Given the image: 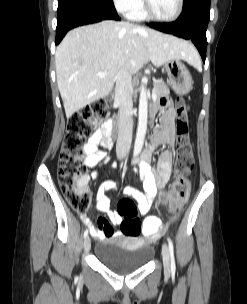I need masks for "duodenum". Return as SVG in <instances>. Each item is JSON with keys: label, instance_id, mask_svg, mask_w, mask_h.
<instances>
[{"label": "duodenum", "instance_id": "1", "mask_svg": "<svg viewBox=\"0 0 247 304\" xmlns=\"http://www.w3.org/2000/svg\"><path fill=\"white\" fill-rule=\"evenodd\" d=\"M118 115H113L112 119H113V131H112V135L110 136L112 139L113 138H118Z\"/></svg>", "mask_w": 247, "mask_h": 304}]
</instances>
